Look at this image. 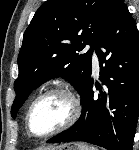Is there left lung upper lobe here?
<instances>
[{
    "label": "left lung upper lobe",
    "instance_id": "obj_1",
    "mask_svg": "<svg viewBox=\"0 0 139 150\" xmlns=\"http://www.w3.org/2000/svg\"><path fill=\"white\" fill-rule=\"evenodd\" d=\"M116 0H48L36 11L23 36L19 76L11 115L29 94L55 76L81 93L91 75L92 52L105 32ZM86 45L91 49L79 54Z\"/></svg>",
    "mask_w": 139,
    "mask_h": 150
}]
</instances>
